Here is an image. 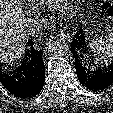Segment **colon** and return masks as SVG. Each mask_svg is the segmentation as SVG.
I'll list each match as a JSON object with an SVG mask.
<instances>
[{
  "mask_svg": "<svg viewBox=\"0 0 113 113\" xmlns=\"http://www.w3.org/2000/svg\"><path fill=\"white\" fill-rule=\"evenodd\" d=\"M103 8H104V10H105L108 14L113 15V8H112V7H110V6L107 5V4H104V5H103Z\"/></svg>",
  "mask_w": 113,
  "mask_h": 113,
  "instance_id": "colon-1",
  "label": "colon"
}]
</instances>
